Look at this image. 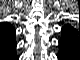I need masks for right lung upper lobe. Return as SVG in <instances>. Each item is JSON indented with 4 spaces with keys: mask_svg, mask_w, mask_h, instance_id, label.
Segmentation results:
<instances>
[{
    "mask_svg": "<svg viewBox=\"0 0 80 60\" xmlns=\"http://www.w3.org/2000/svg\"><path fill=\"white\" fill-rule=\"evenodd\" d=\"M7 30H8V37H9V41L11 42L10 44L15 43L14 41V29L12 26L7 25Z\"/></svg>",
    "mask_w": 80,
    "mask_h": 60,
    "instance_id": "obj_1",
    "label": "right lung upper lobe"
}]
</instances>
